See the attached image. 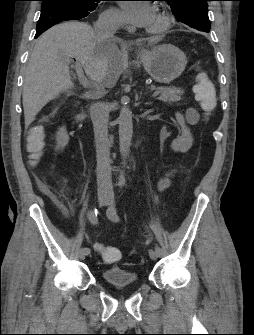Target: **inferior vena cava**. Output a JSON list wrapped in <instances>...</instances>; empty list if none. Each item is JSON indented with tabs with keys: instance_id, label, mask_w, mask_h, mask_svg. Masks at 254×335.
Returning <instances> with one entry per match:
<instances>
[{
	"instance_id": "1",
	"label": "inferior vena cava",
	"mask_w": 254,
	"mask_h": 335,
	"mask_svg": "<svg viewBox=\"0 0 254 335\" xmlns=\"http://www.w3.org/2000/svg\"><path fill=\"white\" fill-rule=\"evenodd\" d=\"M119 24L109 15H102L94 23V31L100 38L113 37ZM90 115L93 122L96 157L97 185L99 190L111 191L110 142L108 138L109 114L105 103L97 102L91 105Z\"/></svg>"
}]
</instances>
